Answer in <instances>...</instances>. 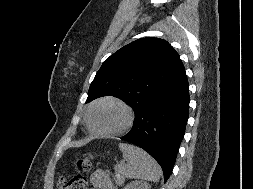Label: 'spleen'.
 Returning a JSON list of instances; mask_svg holds the SVG:
<instances>
[{
  "label": "spleen",
  "mask_w": 253,
  "mask_h": 189,
  "mask_svg": "<svg viewBox=\"0 0 253 189\" xmlns=\"http://www.w3.org/2000/svg\"><path fill=\"white\" fill-rule=\"evenodd\" d=\"M119 148L127 164L123 166L124 175L131 179L158 182L162 170L158 163L143 149L132 144L120 143Z\"/></svg>",
  "instance_id": "3e777b00"
}]
</instances>
